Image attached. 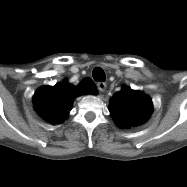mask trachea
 <instances>
[{
    "label": "trachea",
    "mask_w": 187,
    "mask_h": 187,
    "mask_svg": "<svg viewBox=\"0 0 187 187\" xmlns=\"http://www.w3.org/2000/svg\"><path fill=\"white\" fill-rule=\"evenodd\" d=\"M92 76H93L94 80H100V81L106 80V75H105L104 71L99 67H97L93 70Z\"/></svg>",
    "instance_id": "obj_1"
}]
</instances>
